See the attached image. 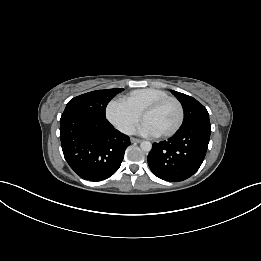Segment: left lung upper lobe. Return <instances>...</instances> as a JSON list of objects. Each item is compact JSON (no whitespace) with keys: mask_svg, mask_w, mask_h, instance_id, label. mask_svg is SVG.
<instances>
[{"mask_svg":"<svg viewBox=\"0 0 261 261\" xmlns=\"http://www.w3.org/2000/svg\"><path fill=\"white\" fill-rule=\"evenodd\" d=\"M171 92L181 102L184 109L185 117L182 126H188L203 121L209 122L208 111L196 99L174 90H171Z\"/></svg>","mask_w":261,"mask_h":261,"instance_id":"left-lung-upper-lobe-1","label":"left lung upper lobe"}]
</instances>
